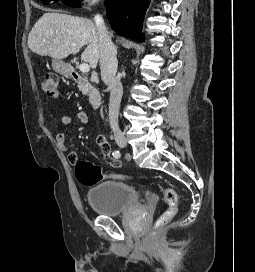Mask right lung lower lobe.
Wrapping results in <instances>:
<instances>
[{"label": "right lung lower lobe", "instance_id": "obj_1", "mask_svg": "<svg viewBox=\"0 0 255 272\" xmlns=\"http://www.w3.org/2000/svg\"><path fill=\"white\" fill-rule=\"evenodd\" d=\"M149 3L150 0H107V17L113 30L142 42L144 34H139Z\"/></svg>", "mask_w": 255, "mask_h": 272}]
</instances>
